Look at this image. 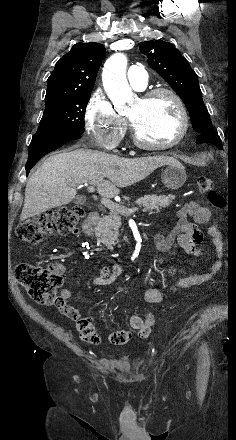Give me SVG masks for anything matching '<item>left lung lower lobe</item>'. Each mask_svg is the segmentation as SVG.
<instances>
[{"mask_svg": "<svg viewBox=\"0 0 236 440\" xmlns=\"http://www.w3.org/2000/svg\"><path fill=\"white\" fill-rule=\"evenodd\" d=\"M197 143H211L222 150L221 140L214 130L201 133L197 139Z\"/></svg>", "mask_w": 236, "mask_h": 440, "instance_id": "0a47b994", "label": "left lung lower lobe"}]
</instances>
